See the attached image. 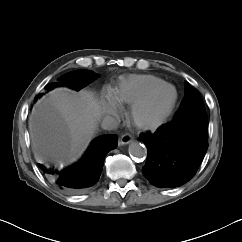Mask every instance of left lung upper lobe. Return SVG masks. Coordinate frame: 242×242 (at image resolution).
<instances>
[{
  "instance_id": "1",
  "label": "left lung upper lobe",
  "mask_w": 242,
  "mask_h": 242,
  "mask_svg": "<svg viewBox=\"0 0 242 242\" xmlns=\"http://www.w3.org/2000/svg\"><path fill=\"white\" fill-rule=\"evenodd\" d=\"M184 98L179 110L171 123L166 124L170 130H175L193 121H208L204 103L199 91L187 82L184 83Z\"/></svg>"
}]
</instances>
